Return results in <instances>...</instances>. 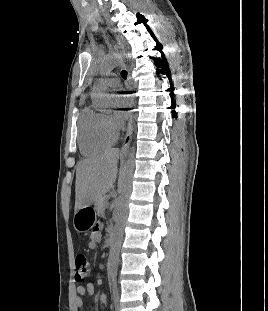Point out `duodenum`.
Here are the masks:
<instances>
[{"mask_svg": "<svg viewBox=\"0 0 268 311\" xmlns=\"http://www.w3.org/2000/svg\"><path fill=\"white\" fill-rule=\"evenodd\" d=\"M113 242H114V232L111 230L108 236V243L113 244Z\"/></svg>", "mask_w": 268, "mask_h": 311, "instance_id": "1", "label": "duodenum"}]
</instances>
